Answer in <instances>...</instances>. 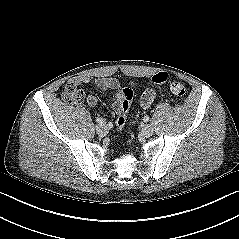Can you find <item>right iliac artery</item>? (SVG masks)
<instances>
[{"mask_svg":"<svg viewBox=\"0 0 239 239\" xmlns=\"http://www.w3.org/2000/svg\"><path fill=\"white\" fill-rule=\"evenodd\" d=\"M96 122L99 123V124H104V123H105V120L102 119V118H97V119H96Z\"/></svg>","mask_w":239,"mask_h":239,"instance_id":"right-iliac-artery-1","label":"right iliac artery"}]
</instances>
